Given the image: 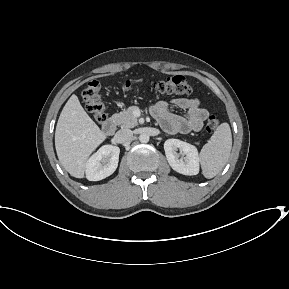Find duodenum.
I'll use <instances>...</instances> for the list:
<instances>
[{"mask_svg": "<svg viewBox=\"0 0 289 289\" xmlns=\"http://www.w3.org/2000/svg\"><path fill=\"white\" fill-rule=\"evenodd\" d=\"M104 132L112 136L116 131V122L113 119H108L103 125Z\"/></svg>", "mask_w": 289, "mask_h": 289, "instance_id": "duodenum-1", "label": "duodenum"}]
</instances>
